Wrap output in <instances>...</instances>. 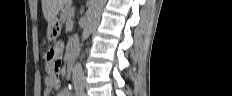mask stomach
<instances>
[{
	"instance_id": "obj_1",
	"label": "stomach",
	"mask_w": 232,
	"mask_h": 96,
	"mask_svg": "<svg viewBox=\"0 0 232 96\" xmlns=\"http://www.w3.org/2000/svg\"><path fill=\"white\" fill-rule=\"evenodd\" d=\"M60 23L57 19L53 20L51 23H49L48 26V38L49 40L53 41L55 40L58 35L60 34Z\"/></svg>"
}]
</instances>
